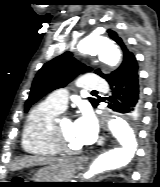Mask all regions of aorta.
<instances>
[{"label": "aorta", "instance_id": "1", "mask_svg": "<svg viewBox=\"0 0 160 187\" xmlns=\"http://www.w3.org/2000/svg\"><path fill=\"white\" fill-rule=\"evenodd\" d=\"M82 54L97 55L99 59L115 66L121 57L118 47L105 35L91 34L78 44ZM109 130L118 141V146L100 154L91 164L84 178L89 179L107 170L125 167L134 156L137 148V135L128 122L121 117H114L108 122Z\"/></svg>", "mask_w": 160, "mask_h": 187}]
</instances>
